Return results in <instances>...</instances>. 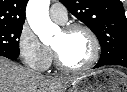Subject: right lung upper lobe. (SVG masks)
Wrapping results in <instances>:
<instances>
[{
  "mask_svg": "<svg viewBox=\"0 0 127 92\" xmlns=\"http://www.w3.org/2000/svg\"><path fill=\"white\" fill-rule=\"evenodd\" d=\"M28 0H0V26L23 25Z\"/></svg>",
  "mask_w": 127,
  "mask_h": 92,
  "instance_id": "right-lung-upper-lobe-1",
  "label": "right lung upper lobe"
}]
</instances>
